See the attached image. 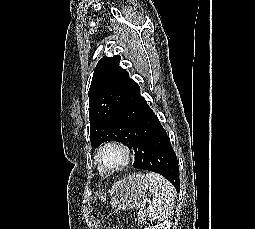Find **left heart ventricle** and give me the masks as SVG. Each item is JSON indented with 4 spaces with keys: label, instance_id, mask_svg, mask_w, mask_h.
Wrapping results in <instances>:
<instances>
[{
    "label": "left heart ventricle",
    "instance_id": "b2bd125f",
    "mask_svg": "<svg viewBox=\"0 0 255 229\" xmlns=\"http://www.w3.org/2000/svg\"><path fill=\"white\" fill-rule=\"evenodd\" d=\"M122 153L117 149H108L103 154V161L107 166H115L121 162Z\"/></svg>",
    "mask_w": 255,
    "mask_h": 229
}]
</instances>
